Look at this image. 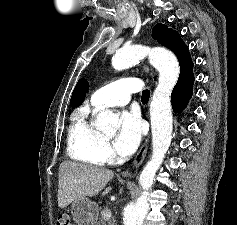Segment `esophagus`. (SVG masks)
<instances>
[{
    "label": "esophagus",
    "mask_w": 237,
    "mask_h": 225,
    "mask_svg": "<svg viewBox=\"0 0 237 225\" xmlns=\"http://www.w3.org/2000/svg\"><path fill=\"white\" fill-rule=\"evenodd\" d=\"M154 71L153 69L150 70V76H153ZM148 145H149V136L145 138L144 142L142 143V145L139 148V151L137 152L134 160H133V168L134 171L137 170L139 168V166L142 164V162L145 159V156L147 154V150H148ZM133 174L132 171L126 169L124 170L121 175L123 177H129Z\"/></svg>",
    "instance_id": "obj_1"
}]
</instances>
